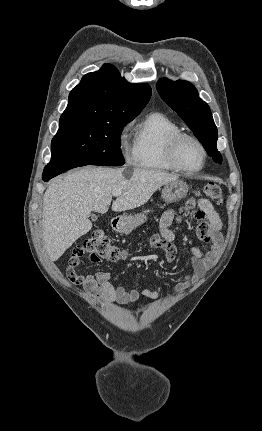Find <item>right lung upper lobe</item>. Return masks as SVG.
Segmentation results:
<instances>
[{
    "mask_svg": "<svg viewBox=\"0 0 262 431\" xmlns=\"http://www.w3.org/2000/svg\"><path fill=\"white\" fill-rule=\"evenodd\" d=\"M147 84H130L114 66L105 64L83 76L69 94L60 125L81 120L109 121L135 118L151 97Z\"/></svg>",
    "mask_w": 262,
    "mask_h": 431,
    "instance_id": "obj_1",
    "label": "right lung upper lobe"
}]
</instances>
